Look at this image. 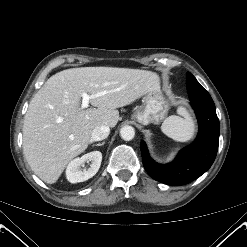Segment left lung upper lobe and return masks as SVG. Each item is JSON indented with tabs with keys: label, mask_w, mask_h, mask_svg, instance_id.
<instances>
[{
	"label": "left lung upper lobe",
	"mask_w": 247,
	"mask_h": 247,
	"mask_svg": "<svg viewBox=\"0 0 247 247\" xmlns=\"http://www.w3.org/2000/svg\"><path fill=\"white\" fill-rule=\"evenodd\" d=\"M186 76H187V80H190V79L194 78V76L189 72H187Z\"/></svg>",
	"instance_id": "obj_1"
}]
</instances>
